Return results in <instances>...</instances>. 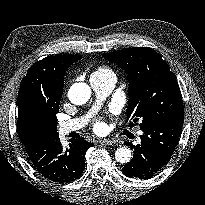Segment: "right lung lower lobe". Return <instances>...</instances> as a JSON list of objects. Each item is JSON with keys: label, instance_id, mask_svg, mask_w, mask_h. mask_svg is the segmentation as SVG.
I'll list each match as a JSON object with an SVG mask.
<instances>
[{"label": "right lung lower lobe", "instance_id": "98d812e1", "mask_svg": "<svg viewBox=\"0 0 205 205\" xmlns=\"http://www.w3.org/2000/svg\"><path fill=\"white\" fill-rule=\"evenodd\" d=\"M63 148L59 135H48L24 142V148L34 168L54 182H71L85 169L84 156L93 145L83 138L73 139Z\"/></svg>", "mask_w": 205, "mask_h": 205}]
</instances>
